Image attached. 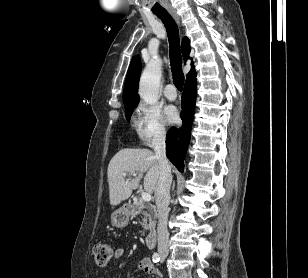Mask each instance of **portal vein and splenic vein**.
Listing matches in <instances>:
<instances>
[{"label":"portal vein and splenic vein","instance_id":"obj_1","mask_svg":"<svg viewBox=\"0 0 308 278\" xmlns=\"http://www.w3.org/2000/svg\"><path fill=\"white\" fill-rule=\"evenodd\" d=\"M123 175L126 176L125 173H124ZM136 175H137L136 173L133 174L134 177H135ZM141 196H142L143 201H145V202L151 201V194H150L149 192H142V193H141Z\"/></svg>","mask_w":308,"mask_h":278}]
</instances>
